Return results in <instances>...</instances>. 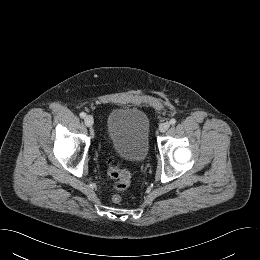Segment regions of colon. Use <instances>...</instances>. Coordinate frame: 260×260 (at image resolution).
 Masks as SVG:
<instances>
[{
    "instance_id": "5ec220e1",
    "label": "colon",
    "mask_w": 260,
    "mask_h": 260,
    "mask_svg": "<svg viewBox=\"0 0 260 260\" xmlns=\"http://www.w3.org/2000/svg\"><path fill=\"white\" fill-rule=\"evenodd\" d=\"M108 175L115 180L114 189L116 191H123L130 185V174L129 172L120 169L112 160L108 162ZM111 200L115 204H119L122 201L120 194L115 193L112 195Z\"/></svg>"
}]
</instances>
